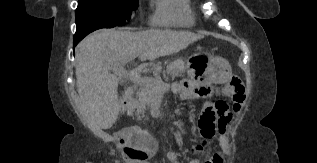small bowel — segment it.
Returning a JSON list of instances; mask_svg holds the SVG:
<instances>
[{
  "label": "small bowel",
  "mask_w": 317,
  "mask_h": 163,
  "mask_svg": "<svg viewBox=\"0 0 317 163\" xmlns=\"http://www.w3.org/2000/svg\"><path fill=\"white\" fill-rule=\"evenodd\" d=\"M215 86V83L213 81H208L202 84L198 89V96L202 98H208L212 95L213 88ZM173 91L181 98L186 99L193 91L194 88L192 85L185 83V84H176L173 87ZM244 104V98L239 103L234 105L233 112H230L228 108H226L225 112L222 114L220 118V125H219V143L221 145L228 143V137L227 132L228 128L232 122V119L234 116H237L240 114ZM215 133H203L201 132V140L199 143L195 144L191 148V154L192 159L189 161V163H223V153L221 151H217L214 154L207 156L208 150L211 145V141L215 137ZM123 141L127 142L129 140V136L125 135L123 136ZM167 158L170 163H179L178 156L175 152V150L169 146L167 148ZM91 163V162H87Z\"/></svg>",
  "instance_id": "obj_1"
}]
</instances>
